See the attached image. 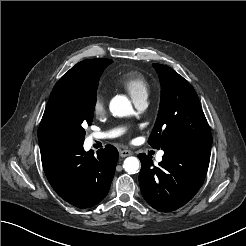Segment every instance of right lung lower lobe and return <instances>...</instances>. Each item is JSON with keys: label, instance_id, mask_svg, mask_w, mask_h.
Here are the masks:
<instances>
[{"label": "right lung lower lobe", "instance_id": "1", "mask_svg": "<svg viewBox=\"0 0 246 246\" xmlns=\"http://www.w3.org/2000/svg\"><path fill=\"white\" fill-rule=\"evenodd\" d=\"M84 138L51 134L39 139L41 159L46 177L56 193L70 204L89 208L108 193L118 151L112 145L85 152Z\"/></svg>", "mask_w": 246, "mask_h": 246}]
</instances>
